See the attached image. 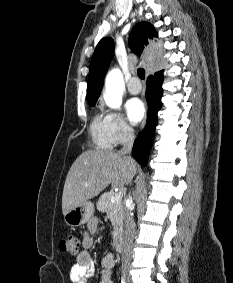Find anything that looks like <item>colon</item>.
Listing matches in <instances>:
<instances>
[{"instance_id":"5ec220e1","label":"colon","mask_w":233,"mask_h":283,"mask_svg":"<svg viewBox=\"0 0 233 283\" xmlns=\"http://www.w3.org/2000/svg\"><path fill=\"white\" fill-rule=\"evenodd\" d=\"M60 249L70 255H78L80 250V239L76 235H70L60 241Z\"/></svg>"}]
</instances>
